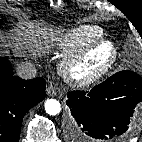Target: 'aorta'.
Returning <instances> with one entry per match:
<instances>
[{"label":"aorta","mask_w":142,"mask_h":142,"mask_svg":"<svg viewBox=\"0 0 142 142\" xmlns=\"http://www.w3.org/2000/svg\"><path fill=\"white\" fill-rule=\"evenodd\" d=\"M45 111L49 115H57L61 111V105L59 101L55 99H48L45 102Z\"/></svg>","instance_id":"1"}]
</instances>
